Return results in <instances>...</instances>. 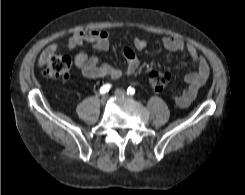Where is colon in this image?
Segmentation results:
<instances>
[{
	"label": "colon",
	"instance_id": "colon-1",
	"mask_svg": "<svg viewBox=\"0 0 245 195\" xmlns=\"http://www.w3.org/2000/svg\"><path fill=\"white\" fill-rule=\"evenodd\" d=\"M72 66V60L67 52L56 47L44 70L45 76L51 80H64L68 77ZM170 80V75L167 72H152L149 76V87L155 92L162 91Z\"/></svg>",
	"mask_w": 245,
	"mask_h": 195
}]
</instances>
